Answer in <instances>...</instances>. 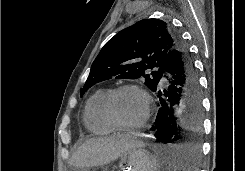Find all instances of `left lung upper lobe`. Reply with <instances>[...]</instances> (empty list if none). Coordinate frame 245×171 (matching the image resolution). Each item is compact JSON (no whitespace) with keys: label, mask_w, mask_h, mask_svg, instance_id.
<instances>
[{"label":"left lung upper lobe","mask_w":245,"mask_h":171,"mask_svg":"<svg viewBox=\"0 0 245 171\" xmlns=\"http://www.w3.org/2000/svg\"><path fill=\"white\" fill-rule=\"evenodd\" d=\"M184 42L168 22L144 19L112 37L94 60L80 96L98 82L145 78L153 92L163 76L168 55ZM154 70V71H151Z\"/></svg>","instance_id":"1"}]
</instances>
